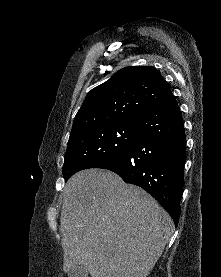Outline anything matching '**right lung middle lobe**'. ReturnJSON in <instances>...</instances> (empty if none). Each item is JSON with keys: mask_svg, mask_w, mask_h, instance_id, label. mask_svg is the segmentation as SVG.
Masks as SVG:
<instances>
[{"mask_svg": "<svg viewBox=\"0 0 221 277\" xmlns=\"http://www.w3.org/2000/svg\"><path fill=\"white\" fill-rule=\"evenodd\" d=\"M137 134V123L126 122L96 126L70 136L65 154L63 177L98 168L122 156Z\"/></svg>", "mask_w": 221, "mask_h": 277, "instance_id": "1", "label": "right lung middle lobe"}]
</instances>
